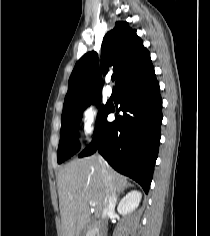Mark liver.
<instances>
[{
    "label": "liver",
    "mask_w": 210,
    "mask_h": 236,
    "mask_svg": "<svg viewBox=\"0 0 210 236\" xmlns=\"http://www.w3.org/2000/svg\"><path fill=\"white\" fill-rule=\"evenodd\" d=\"M128 184L113 169H103L96 156L67 163L57 178L63 236H79L90 221V202L95 203V217L100 218L105 196L121 192Z\"/></svg>",
    "instance_id": "1"
}]
</instances>
